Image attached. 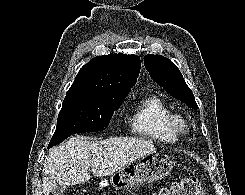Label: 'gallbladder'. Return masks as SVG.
I'll return each mask as SVG.
<instances>
[{"label": "gallbladder", "mask_w": 245, "mask_h": 195, "mask_svg": "<svg viewBox=\"0 0 245 195\" xmlns=\"http://www.w3.org/2000/svg\"><path fill=\"white\" fill-rule=\"evenodd\" d=\"M66 186H63V185H59V186H56L53 190H52V193L53 195H63V193L66 191Z\"/></svg>", "instance_id": "gallbladder-1"}]
</instances>
